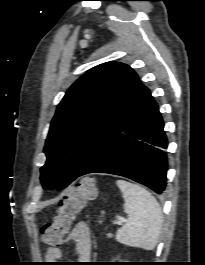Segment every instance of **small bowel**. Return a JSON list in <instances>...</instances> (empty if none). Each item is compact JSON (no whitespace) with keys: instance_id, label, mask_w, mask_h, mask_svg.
Wrapping results in <instances>:
<instances>
[{"instance_id":"c3829d8e","label":"small bowel","mask_w":205,"mask_h":265,"mask_svg":"<svg viewBox=\"0 0 205 265\" xmlns=\"http://www.w3.org/2000/svg\"><path fill=\"white\" fill-rule=\"evenodd\" d=\"M74 243L75 251L79 261L83 263L91 259L92 252V238L91 231L85 222H78L69 231L66 238L62 242ZM63 258V251L60 247L54 246L49 247L45 254V259L49 262H56Z\"/></svg>"}]
</instances>
